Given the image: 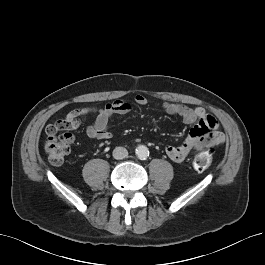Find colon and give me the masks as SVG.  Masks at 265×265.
Here are the masks:
<instances>
[{
  "mask_svg": "<svg viewBox=\"0 0 265 265\" xmlns=\"http://www.w3.org/2000/svg\"><path fill=\"white\" fill-rule=\"evenodd\" d=\"M74 128V122L67 116L64 119L57 120L46 128L47 141L45 143V152L52 164L59 165L64 162L69 154L70 145L73 136L69 131ZM213 161V153L210 149L199 151L193 159V167L197 171L207 170Z\"/></svg>",
  "mask_w": 265,
  "mask_h": 265,
  "instance_id": "colon-1",
  "label": "colon"
}]
</instances>
